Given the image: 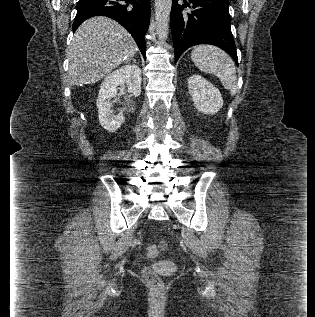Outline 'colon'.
<instances>
[{
  "mask_svg": "<svg viewBox=\"0 0 315 317\" xmlns=\"http://www.w3.org/2000/svg\"><path fill=\"white\" fill-rule=\"evenodd\" d=\"M165 246V242H161L159 244H149L146 247V254L149 257H155L159 254L161 250L165 248ZM143 277L146 280V282L154 289L158 290L162 288L163 283L160 277L151 268L147 267L143 270Z\"/></svg>",
  "mask_w": 315,
  "mask_h": 317,
  "instance_id": "colon-1",
  "label": "colon"
}]
</instances>
